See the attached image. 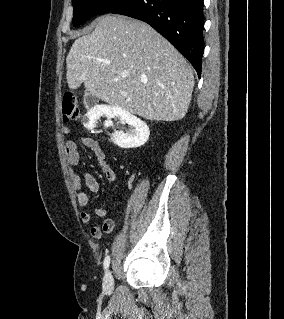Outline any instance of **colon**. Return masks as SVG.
<instances>
[{
	"label": "colon",
	"mask_w": 284,
	"mask_h": 319,
	"mask_svg": "<svg viewBox=\"0 0 284 319\" xmlns=\"http://www.w3.org/2000/svg\"><path fill=\"white\" fill-rule=\"evenodd\" d=\"M80 105L77 96L72 92H66L62 100V117L65 122L78 118Z\"/></svg>",
	"instance_id": "obj_1"
}]
</instances>
